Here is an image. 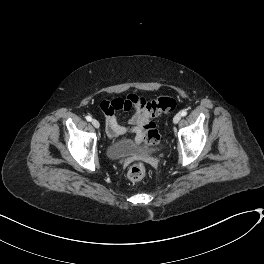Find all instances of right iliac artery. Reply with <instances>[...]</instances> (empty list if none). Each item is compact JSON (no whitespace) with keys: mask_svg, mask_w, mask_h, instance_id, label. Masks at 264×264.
<instances>
[{"mask_svg":"<svg viewBox=\"0 0 264 264\" xmlns=\"http://www.w3.org/2000/svg\"><path fill=\"white\" fill-rule=\"evenodd\" d=\"M86 120L90 122V121H92V117L91 116H87Z\"/></svg>","mask_w":264,"mask_h":264,"instance_id":"1","label":"right iliac artery"}]
</instances>
